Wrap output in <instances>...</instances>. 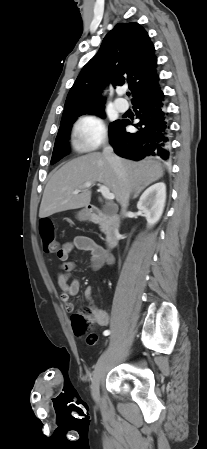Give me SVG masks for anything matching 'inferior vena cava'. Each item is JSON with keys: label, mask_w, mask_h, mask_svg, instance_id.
Wrapping results in <instances>:
<instances>
[{"label": "inferior vena cava", "mask_w": 207, "mask_h": 449, "mask_svg": "<svg viewBox=\"0 0 207 449\" xmlns=\"http://www.w3.org/2000/svg\"><path fill=\"white\" fill-rule=\"evenodd\" d=\"M103 155L112 166L118 179L120 180L122 186H124L123 199H122V212L121 215L124 216L126 213V208L128 204L129 191L127 189V176L125 169L122 165L121 159L116 156L113 152V148L110 145H106L103 148Z\"/></svg>", "instance_id": "1"}]
</instances>
